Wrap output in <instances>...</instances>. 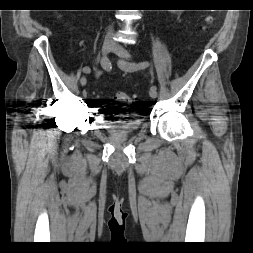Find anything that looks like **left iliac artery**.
<instances>
[{
    "instance_id": "44dca946",
    "label": "left iliac artery",
    "mask_w": 253,
    "mask_h": 253,
    "mask_svg": "<svg viewBox=\"0 0 253 253\" xmlns=\"http://www.w3.org/2000/svg\"><path fill=\"white\" fill-rule=\"evenodd\" d=\"M119 64H121L125 69H128L129 71L145 69L149 66V63L147 61L140 62V63H129L125 61H120ZM151 88L156 89V86H152Z\"/></svg>"
}]
</instances>
